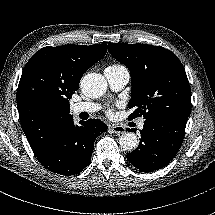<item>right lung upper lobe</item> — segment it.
<instances>
[{
  "label": "right lung upper lobe",
  "instance_id": "cb5924a9",
  "mask_svg": "<svg viewBox=\"0 0 215 215\" xmlns=\"http://www.w3.org/2000/svg\"><path fill=\"white\" fill-rule=\"evenodd\" d=\"M106 52V44L48 46L29 59L16 100L23 132L34 153L72 117L69 99L85 71Z\"/></svg>",
  "mask_w": 215,
  "mask_h": 215
}]
</instances>
